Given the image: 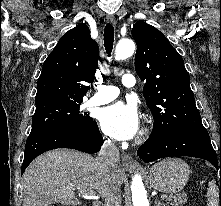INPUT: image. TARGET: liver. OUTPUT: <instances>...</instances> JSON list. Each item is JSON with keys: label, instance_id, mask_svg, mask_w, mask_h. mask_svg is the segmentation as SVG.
<instances>
[{"label": "liver", "instance_id": "1", "mask_svg": "<svg viewBox=\"0 0 221 206\" xmlns=\"http://www.w3.org/2000/svg\"><path fill=\"white\" fill-rule=\"evenodd\" d=\"M125 179L119 167L106 170L97 158L68 149H56L37 157L22 179L23 206H50L54 203L77 206L75 192L95 191L101 197L112 186L121 187Z\"/></svg>", "mask_w": 221, "mask_h": 206}]
</instances>
